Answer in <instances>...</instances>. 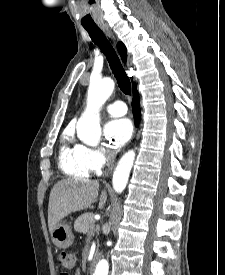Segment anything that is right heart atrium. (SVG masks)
Returning <instances> with one entry per match:
<instances>
[{
  "instance_id": "1",
  "label": "right heart atrium",
  "mask_w": 225,
  "mask_h": 275,
  "mask_svg": "<svg viewBox=\"0 0 225 275\" xmlns=\"http://www.w3.org/2000/svg\"><path fill=\"white\" fill-rule=\"evenodd\" d=\"M77 147L85 163L93 172L102 170L114 160V155L104 148L82 145H78Z\"/></svg>"
}]
</instances>
